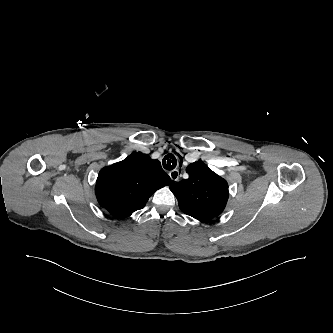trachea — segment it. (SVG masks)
Instances as JSON below:
<instances>
[{"label": "trachea", "instance_id": "trachea-1", "mask_svg": "<svg viewBox=\"0 0 333 333\" xmlns=\"http://www.w3.org/2000/svg\"><path fill=\"white\" fill-rule=\"evenodd\" d=\"M177 165V160L176 157L173 154H167L164 158H163V167L166 170H173ZM181 166V164H180Z\"/></svg>", "mask_w": 333, "mask_h": 333}]
</instances>
